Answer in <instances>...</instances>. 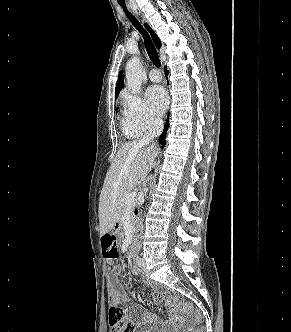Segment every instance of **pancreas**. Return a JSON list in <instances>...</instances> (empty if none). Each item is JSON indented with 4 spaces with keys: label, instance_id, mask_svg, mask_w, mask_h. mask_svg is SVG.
Returning <instances> with one entry per match:
<instances>
[{
    "label": "pancreas",
    "instance_id": "obj_1",
    "mask_svg": "<svg viewBox=\"0 0 291 332\" xmlns=\"http://www.w3.org/2000/svg\"><path fill=\"white\" fill-rule=\"evenodd\" d=\"M125 199H126V195L123 197L122 199V204H121V215H124L126 210H128L129 206L125 203ZM136 204H132V206H130V215H131V219L133 220V210L135 208Z\"/></svg>",
    "mask_w": 291,
    "mask_h": 332
}]
</instances>
